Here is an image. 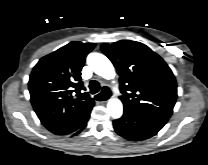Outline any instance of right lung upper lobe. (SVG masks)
I'll use <instances>...</instances> for the list:
<instances>
[{
	"label": "right lung upper lobe",
	"mask_w": 208,
	"mask_h": 165,
	"mask_svg": "<svg viewBox=\"0 0 208 165\" xmlns=\"http://www.w3.org/2000/svg\"><path fill=\"white\" fill-rule=\"evenodd\" d=\"M94 47L95 43L70 42L41 58L33 68L28 82L31 103L53 134H72L90 115L94 100L87 92L81 93L85 90L81 70Z\"/></svg>",
	"instance_id": "obj_1"
}]
</instances>
